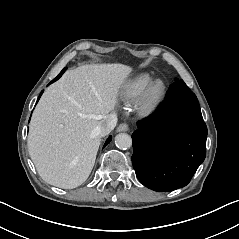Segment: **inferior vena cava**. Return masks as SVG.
<instances>
[{
  "instance_id": "602c4592",
  "label": "inferior vena cava",
  "mask_w": 239,
  "mask_h": 239,
  "mask_svg": "<svg viewBox=\"0 0 239 239\" xmlns=\"http://www.w3.org/2000/svg\"><path fill=\"white\" fill-rule=\"evenodd\" d=\"M117 116L113 113L108 114L104 120H102V122L100 123V125L97 128V135L99 137H103L107 134H109L115 127L117 124Z\"/></svg>"
}]
</instances>
